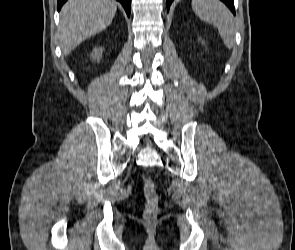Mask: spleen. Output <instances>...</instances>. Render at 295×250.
I'll return each instance as SVG.
<instances>
[{
    "label": "spleen",
    "mask_w": 295,
    "mask_h": 250,
    "mask_svg": "<svg viewBox=\"0 0 295 250\" xmlns=\"http://www.w3.org/2000/svg\"><path fill=\"white\" fill-rule=\"evenodd\" d=\"M192 9L200 19L216 26L225 46L232 49L235 28L229 9L219 0H192Z\"/></svg>",
    "instance_id": "1"
}]
</instances>
